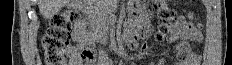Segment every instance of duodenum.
Here are the masks:
<instances>
[{
    "label": "duodenum",
    "mask_w": 232,
    "mask_h": 65,
    "mask_svg": "<svg viewBox=\"0 0 232 65\" xmlns=\"http://www.w3.org/2000/svg\"><path fill=\"white\" fill-rule=\"evenodd\" d=\"M75 6H76V8H78L79 10H81L84 13L89 12V7H88V4H87L86 1H77L75 3ZM136 28H137V24L134 21H132L128 25V27H127V29L125 31V35H124L125 38L128 39V40H132L134 38ZM96 40L98 42L102 43V42H105V37L103 35L99 34V35L96 36Z\"/></svg>",
    "instance_id": "410a0bca"
}]
</instances>
